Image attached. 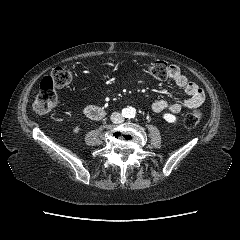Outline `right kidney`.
I'll list each match as a JSON object with an SVG mask.
<instances>
[{
    "instance_id": "right-kidney-1",
    "label": "right kidney",
    "mask_w": 240,
    "mask_h": 240,
    "mask_svg": "<svg viewBox=\"0 0 240 240\" xmlns=\"http://www.w3.org/2000/svg\"><path fill=\"white\" fill-rule=\"evenodd\" d=\"M79 130H80V127H79V126H76L73 131H74V133H78Z\"/></svg>"
}]
</instances>
